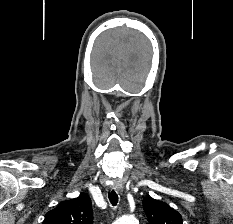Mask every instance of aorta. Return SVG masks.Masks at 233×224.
<instances>
[{
    "label": "aorta",
    "mask_w": 233,
    "mask_h": 224,
    "mask_svg": "<svg viewBox=\"0 0 233 224\" xmlns=\"http://www.w3.org/2000/svg\"><path fill=\"white\" fill-rule=\"evenodd\" d=\"M113 224H139V222L134 216L125 215L118 218Z\"/></svg>",
    "instance_id": "obj_1"
}]
</instances>
